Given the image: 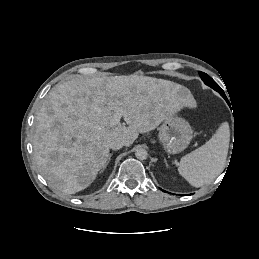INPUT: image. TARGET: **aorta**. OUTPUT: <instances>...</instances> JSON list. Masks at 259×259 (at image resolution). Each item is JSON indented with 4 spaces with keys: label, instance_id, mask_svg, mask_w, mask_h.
Segmentation results:
<instances>
[{
    "label": "aorta",
    "instance_id": "762f6f07",
    "mask_svg": "<svg viewBox=\"0 0 259 259\" xmlns=\"http://www.w3.org/2000/svg\"><path fill=\"white\" fill-rule=\"evenodd\" d=\"M135 156L139 160H145L147 158V151L143 148H139L136 150Z\"/></svg>",
    "mask_w": 259,
    "mask_h": 259
}]
</instances>
